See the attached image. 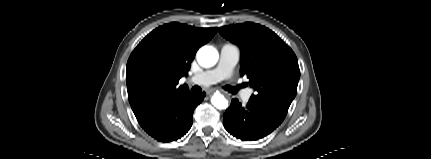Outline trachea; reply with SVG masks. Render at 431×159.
<instances>
[{
    "label": "trachea",
    "instance_id": "trachea-1",
    "mask_svg": "<svg viewBox=\"0 0 431 159\" xmlns=\"http://www.w3.org/2000/svg\"><path fill=\"white\" fill-rule=\"evenodd\" d=\"M191 90L194 93H200L201 92V88L199 86H194V87H192ZM226 90H228L229 92L235 94L237 92V90H238V87H230V86H228V87H226Z\"/></svg>",
    "mask_w": 431,
    "mask_h": 159
}]
</instances>
